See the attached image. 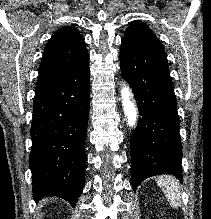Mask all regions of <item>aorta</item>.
<instances>
[{
  "label": "aorta",
  "mask_w": 211,
  "mask_h": 219,
  "mask_svg": "<svg viewBox=\"0 0 211 219\" xmlns=\"http://www.w3.org/2000/svg\"><path fill=\"white\" fill-rule=\"evenodd\" d=\"M121 98L124 114L127 118V124L129 127H135L137 123V108L131 101V91L126 84H123L121 89Z\"/></svg>",
  "instance_id": "aorta-1"
}]
</instances>
